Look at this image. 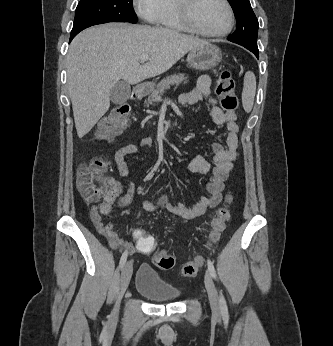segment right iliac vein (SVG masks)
Masks as SVG:
<instances>
[{
    "label": "right iliac vein",
    "mask_w": 333,
    "mask_h": 346,
    "mask_svg": "<svg viewBox=\"0 0 333 346\" xmlns=\"http://www.w3.org/2000/svg\"><path fill=\"white\" fill-rule=\"evenodd\" d=\"M132 269H133V264L131 260L127 261L122 268L119 293H118L115 305L111 311V323H115L118 319L120 301L124 292L128 288L131 275H132Z\"/></svg>",
    "instance_id": "obj_1"
}]
</instances>
